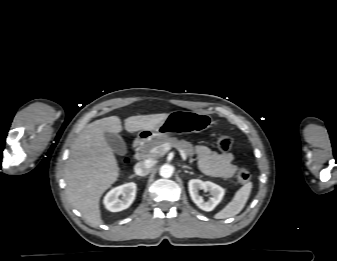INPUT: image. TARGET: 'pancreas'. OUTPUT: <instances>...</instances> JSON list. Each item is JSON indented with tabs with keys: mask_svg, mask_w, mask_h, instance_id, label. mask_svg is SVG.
Segmentation results:
<instances>
[{
	"mask_svg": "<svg viewBox=\"0 0 337 261\" xmlns=\"http://www.w3.org/2000/svg\"><path fill=\"white\" fill-rule=\"evenodd\" d=\"M164 143L170 144L171 147H178L184 150L186 156L190 157V163H193L194 161V159L192 158L194 154L193 145L190 142H187L185 140H178L177 138H174V137L163 136V137H157L155 139H152L151 141L146 142L140 147V153L144 157H148V158H158L160 156H163L164 154L161 151L157 153H151V150L153 148L161 146Z\"/></svg>",
	"mask_w": 337,
	"mask_h": 261,
	"instance_id": "obj_1",
	"label": "pancreas"
}]
</instances>
